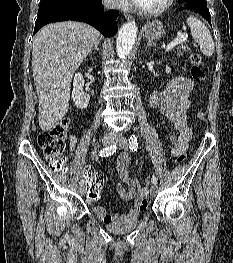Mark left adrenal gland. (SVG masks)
Returning <instances> with one entry per match:
<instances>
[{
  "mask_svg": "<svg viewBox=\"0 0 233 263\" xmlns=\"http://www.w3.org/2000/svg\"><path fill=\"white\" fill-rule=\"evenodd\" d=\"M149 46L157 47V45L150 40L148 41L146 48H148Z\"/></svg>",
  "mask_w": 233,
  "mask_h": 263,
  "instance_id": "obj_1",
  "label": "left adrenal gland"
}]
</instances>
